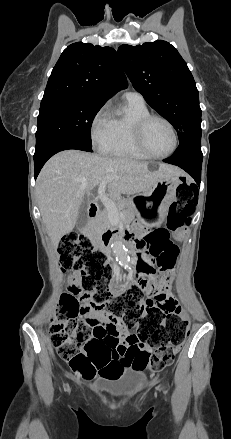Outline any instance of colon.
I'll list each match as a JSON object with an SVG mask.
<instances>
[{
    "instance_id": "1",
    "label": "colon",
    "mask_w": 231,
    "mask_h": 439,
    "mask_svg": "<svg viewBox=\"0 0 231 439\" xmlns=\"http://www.w3.org/2000/svg\"><path fill=\"white\" fill-rule=\"evenodd\" d=\"M176 193L178 200L171 206L168 223L172 230H182L190 225L197 196L195 189L186 183L179 184ZM58 253L63 269L80 274V289L90 294L92 304L104 308L125 327H137L139 341L153 350L152 353L133 351L123 360L103 343L91 344V330L78 318L81 309L78 291L64 293L57 317L50 326V336L58 355L68 361L73 370L89 374L98 371L116 380L129 364L139 370L148 367L159 371L173 361L176 348L187 335V322L180 316L178 306L167 310L156 305L147 308L146 296L157 288L151 280L154 268L170 270L176 260V249L160 254L152 264L140 262L134 279L119 293L111 288L113 270L107 255L96 248L87 235H65ZM83 346L85 352L81 351Z\"/></svg>"
}]
</instances>
